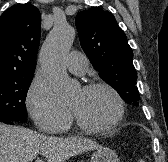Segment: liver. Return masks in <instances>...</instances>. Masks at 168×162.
Here are the masks:
<instances>
[{"instance_id":"6515ba94","label":"liver","mask_w":168,"mask_h":162,"mask_svg":"<svg viewBox=\"0 0 168 162\" xmlns=\"http://www.w3.org/2000/svg\"><path fill=\"white\" fill-rule=\"evenodd\" d=\"M101 146L89 139L46 136L36 131L0 123V162H65Z\"/></svg>"}]
</instances>
